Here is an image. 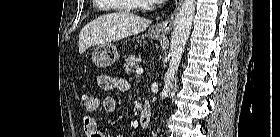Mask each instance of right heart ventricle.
Here are the masks:
<instances>
[{
	"label": "right heart ventricle",
	"mask_w": 280,
	"mask_h": 137,
	"mask_svg": "<svg viewBox=\"0 0 280 137\" xmlns=\"http://www.w3.org/2000/svg\"><path fill=\"white\" fill-rule=\"evenodd\" d=\"M96 2H100V1H104V0H95ZM121 1H124V2H133V0H121ZM120 10H124V11H130V9H126V8H119Z\"/></svg>",
	"instance_id": "right-heart-ventricle-1"
}]
</instances>
